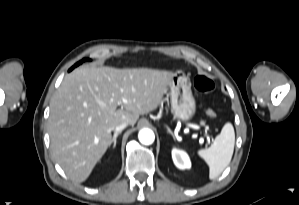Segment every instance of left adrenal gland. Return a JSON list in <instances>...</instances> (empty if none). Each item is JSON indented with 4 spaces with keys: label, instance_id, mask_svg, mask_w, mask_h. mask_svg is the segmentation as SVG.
Wrapping results in <instances>:
<instances>
[{
    "label": "left adrenal gland",
    "instance_id": "left-adrenal-gland-1",
    "mask_svg": "<svg viewBox=\"0 0 299 205\" xmlns=\"http://www.w3.org/2000/svg\"><path fill=\"white\" fill-rule=\"evenodd\" d=\"M167 131H168V133H170V134L172 135V137L175 139V136H174L173 132L170 130L169 127H167Z\"/></svg>",
    "mask_w": 299,
    "mask_h": 205
}]
</instances>
